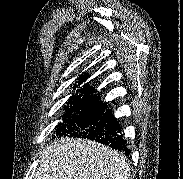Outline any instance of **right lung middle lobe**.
<instances>
[{"instance_id":"right-lung-middle-lobe-1","label":"right lung middle lobe","mask_w":183,"mask_h":179,"mask_svg":"<svg viewBox=\"0 0 183 179\" xmlns=\"http://www.w3.org/2000/svg\"><path fill=\"white\" fill-rule=\"evenodd\" d=\"M62 123L56 126V135L73 137L95 124L105 112L107 104L100 97H88L67 102Z\"/></svg>"}]
</instances>
